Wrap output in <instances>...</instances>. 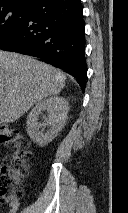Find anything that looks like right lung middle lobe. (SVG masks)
<instances>
[{
  "instance_id": "right-lung-middle-lobe-1",
  "label": "right lung middle lobe",
  "mask_w": 128,
  "mask_h": 213,
  "mask_svg": "<svg viewBox=\"0 0 128 213\" xmlns=\"http://www.w3.org/2000/svg\"><path fill=\"white\" fill-rule=\"evenodd\" d=\"M30 8L21 5L0 6V41L24 23Z\"/></svg>"
}]
</instances>
